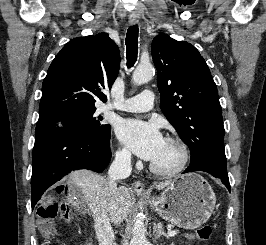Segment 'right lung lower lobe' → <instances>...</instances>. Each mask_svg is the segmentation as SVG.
<instances>
[{
  "instance_id": "98d812e1",
  "label": "right lung lower lobe",
  "mask_w": 266,
  "mask_h": 245,
  "mask_svg": "<svg viewBox=\"0 0 266 245\" xmlns=\"http://www.w3.org/2000/svg\"><path fill=\"white\" fill-rule=\"evenodd\" d=\"M111 159L110 138L99 142L60 127L35 137L32 153V210L45 190L75 169L101 173Z\"/></svg>"
}]
</instances>
